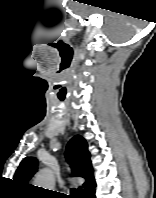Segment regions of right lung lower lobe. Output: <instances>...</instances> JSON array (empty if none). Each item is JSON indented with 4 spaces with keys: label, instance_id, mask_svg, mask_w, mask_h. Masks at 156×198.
Here are the masks:
<instances>
[{
    "label": "right lung lower lobe",
    "instance_id": "1",
    "mask_svg": "<svg viewBox=\"0 0 156 198\" xmlns=\"http://www.w3.org/2000/svg\"><path fill=\"white\" fill-rule=\"evenodd\" d=\"M84 198H95V191L93 190V191L90 192L87 196L84 195Z\"/></svg>",
    "mask_w": 156,
    "mask_h": 198
}]
</instances>
